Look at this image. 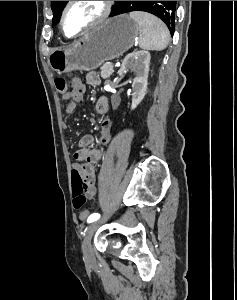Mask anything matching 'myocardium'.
Returning <instances> with one entry per match:
<instances>
[{
    "mask_svg": "<svg viewBox=\"0 0 237 300\" xmlns=\"http://www.w3.org/2000/svg\"><path fill=\"white\" fill-rule=\"evenodd\" d=\"M77 1H68L61 12L60 16V29L62 34L69 39H75L78 38L88 31L98 27L99 25L103 24L110 16L111 11H112V6H113V1H100L101 3V12L100 14L93 20L91 21L88 25H86L82 30H80L77 34L74 35H68L65 31V19L66 15L69 11V9L76 3Z\"/></svg>",
    "mask_w": 237,
    "mask_h": 300,
    "instance_id": "myocardium-1",
    "label": "myocardium"
}]
</instances>
